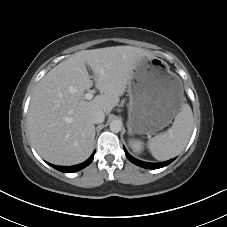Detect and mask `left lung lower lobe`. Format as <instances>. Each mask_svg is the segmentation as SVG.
<instances>
[{
  "instance_id": "obj_1",
  "label": "left lung lower lobe",
  "mask_w": 227,
  "mask_h": 227,
  "mask_svg": "<svg viewBox=\"0 0 227 227\" xmlns=\"http://www.w3.org/2000/svg\"><path fill=\"white\" fill-rule=\"evenodd\" d=\"M124 151H125L126 157L129 159V161H131L135 165H138L140 167L147 168V169L162 168L164 166H167L168 164H170L174 160V159H172V160L162 162V163H147V162L137 160L134 157H132L131 155H129V153L127 152V150L125 148H124Z\"/></svg>"
}]
</instances>
